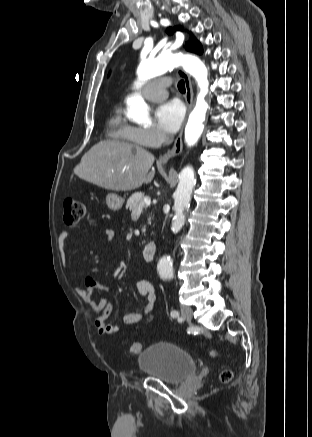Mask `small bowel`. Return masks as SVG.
I'll list each match as a JSON object with an SVG mask.
<instances>
[{
  "label": "small bowel",
  "mask_w": 312,
  "mask_h": 437,
  "mask_svg": "<svg viewBox=\"0 0 312 437\" xmlns=\"http://www.w3.org/2000/svg\"><path fill=\"white\" fill-rule=\"evenodd\" d=\"M64 237L67 234L63 235ZM105 236L108 241L114 238V231L112 229L105 230ZM138 293L145 298V301L141 304V313L134 311H127L124 314L123 321L125 324L133 325L140 323L144 315L150 314L156 304L157 295L153 285L146 279H141L136 283ZM95 290L107 291V288L100 284L92 276H86L83 280V284L77 289V292L81 299L90 305L95 318L94 326L99 335H114L120 332V326L115 323H108L107 318L112 312V303L109 298L104 297L98 302L93 300Z\"/></svg>",
  "instance_id": "c3829d8e"
}]
</instances>
